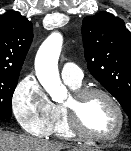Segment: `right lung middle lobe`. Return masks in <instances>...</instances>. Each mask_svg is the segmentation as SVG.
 Segmentation results:
<instances>
[{
  "instance_id": "right-lung-middle-lobe-1",
  "label": "right lung middle lobe",
  "mask_w": 131,
  "mask_h": 151,
  "mask_svg": "<svg viewBox=\"0 0 131 151\" xmlns=\"http://www.w3.org/2000/svg\"><path fill=\"white\" fill-rule=\"evenodd\" d=\"M19 73H0V120L11 118V100Z\"/></svg>"
}]
</instances>
